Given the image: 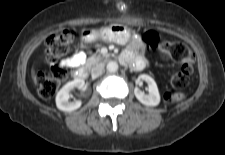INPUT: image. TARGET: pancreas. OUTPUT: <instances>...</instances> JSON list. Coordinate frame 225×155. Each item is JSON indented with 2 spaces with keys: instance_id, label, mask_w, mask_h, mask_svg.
<instances>
[{
  "instance_id": "pancreas-1",
  "label": "pancreas",
  "mask_w": 225,
  "mask_h": 155,
  "mask_svg": "<svg viewBox=\"0 0 225 155\" xmlns=\"http://www.w3.org/2000/svg\"><path fill=\"white\" fill-rule=\"evenodd\" d=\"M103 55L101 54H98V55H93L92 57H90L88 60H87V63H86V66L87 67H91L93 66L95 63H97L98 61L102 60L103 59Z\"/></svg>"
}]
</instances>
